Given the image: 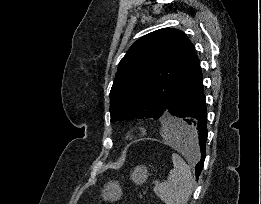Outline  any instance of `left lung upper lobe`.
<instances>
[{
    "mask_svg": "<svg viewBox=\"0 0 261 204\" xmlns=\"http://www.w3.org/2000/svg\"><path fill=\"white\" fill-rule=\"evenodd\" d=\"M194 57L191 41L174 28L138 39L118 65L109 95L111 122L159 119Z\"/></svg>",
    "mask_w": 261,
    "mask_h": 204,
    "instance_id": "left-lung-upper-lobe-1",
    "label": "left lung upper lobe"
}]
</instances>
